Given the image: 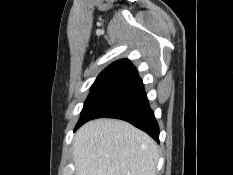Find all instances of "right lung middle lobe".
Wrapping results in <instances>:
<instances>
[{
    "mask_svg": "<svg viewBox=\"0 0 233 175\" xmlns=\"http://www.w3.org/2000/svg\"><path fill=\"white\" fill-rule=\"evenodd\" d=\"M134 81V79L122 77L97 78L84 103L77 126L94 116L104 106L132 85Z\"/></svg>",
    "mask_w": 233,
    "mask_h": 175,
    "instance_id": "dd1d6c3e",
    "label": "right lung middle lobe"
}]
</instances>
